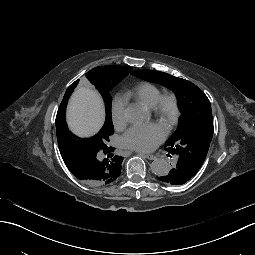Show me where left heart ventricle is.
<instances>
[{
  "label": "left heart ventricle",
  "instance_id": "obj_1",
  "mask_svg": "<svg viewBox=\"0 0 255 255\" xmlns=\"http://www.w3.org/2000/svg\"><path fill=\"white\" fill-rule=\"evenodd\" d=\"M161 129L165 132V128H164V126H161Z\"/></svg>",
  "mask_w": 255,
  "mask_h": 255
}]
</instances>
